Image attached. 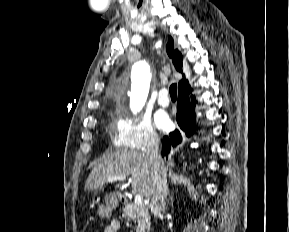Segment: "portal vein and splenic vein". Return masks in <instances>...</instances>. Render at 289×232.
Returning a JSON list of instances; mask_svg holds the SVG:
<instances>
[{
	"instance_id": "18ae733b",
	"label": "portal vein and splenic vein",
	"mask_w": 289,
	"mask_h": 232,
	"mask_svg": "<svg viewBox=\"0 0 289 232\" xmlns=\"http://www.w3.org/2000/svg\"><path fill=\"white\" fill-rule=\"evenodd\" d=\"M124 180H126V176L108 177V182H110V183L115 182V181H124ZM134 201L136 204L141 205L143 203V196L141 194H136Z\"/></svg>"
}]
</instances>
